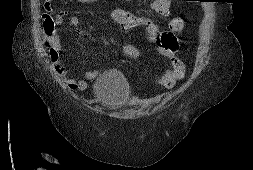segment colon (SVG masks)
<instances>
[{
  "mask_svg": "<svg viewBox=\"0 0 253 170\" xmlns=\"http://www.w3.org/2000/svg\"><path fill=\"white\" fill-rule=\"evenodd\" d=\"M43 27H44V31L47 33L51 32L54 28V20L49 14H46L44 16ZM175 27H181V24L179 22H176ZM58 55H59L58 49L55 46L50 45L51 58L53 60H56L58 58Z\"/></svg>",
  "mask_w": 253,
  "mask_h": 170,
  "instance_id": "obj_1",
  "label": "colon"
}]
</instances>
